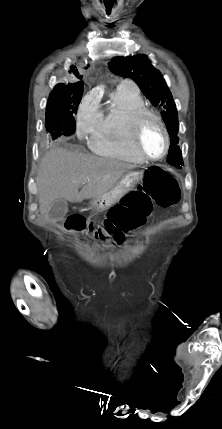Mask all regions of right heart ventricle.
<instances>
[{"mask_svg":"<svg viewBox=\"0 0 222 429\" xmlns=\"http://www.w3.org/2000/svg\"><path fill=\"white\" fill-rule=\"evenodd\" d=\"M144 107V100L137 89L118 87L101 124L91 136L90 148L102 156L143 163L145 160L131 142V120L135 112Z\"/></svg>","mask_w":222,"mask_h":429,"instance_id":"obj_1","label":"right heart ventricle"}]
</instances>
